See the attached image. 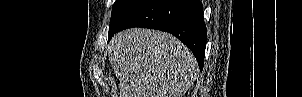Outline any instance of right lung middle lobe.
<instances>
[{
    "mask_svg": "<svg viewBox=\"0 0 302 97\" xmlns=\"http://www.w3.org/2000/svg\"><path fill=\"white\" fill-rule=\"evenodd\" d=\"M145 0H116L109 25V37L121 25V23L136 10Z\"/></svg>",
    "mask_w": 302,
    "mask_h": 97,
    "instance_id": "obj_1",
    "label": "right lung middle lobe"
}]
</instances>
